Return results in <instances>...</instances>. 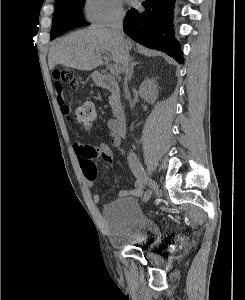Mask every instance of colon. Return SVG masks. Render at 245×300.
Listing matches in <instances>:
<instances>
[{"label":"colon","mask_w":245,"mask_h":300,"mask_svg":"<svg viewBox=\"0 0 245 300\" xmlns=\"http://www.w3.org/2000/svg\"><path fill=\"white\" fill-rule=\"evenodd\" d=\"M53 76L60 83L68 85L73 90H76L78 87V79L72 70L64 69L56 71ZM75 117L81 125L86 128H91L96 121V112L93 103L89 100L80 101L75 109ZM84 170L87 176H94L95 167L92 161H86L84 163Z\"/></svg>","instance_id":"5ec220e1"}]
</instances>
